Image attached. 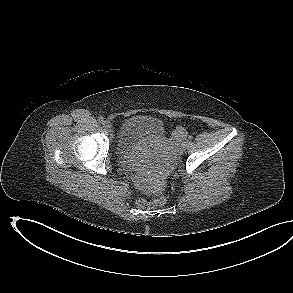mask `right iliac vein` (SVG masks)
Here are the masks:
<instances>
[{
    "instance_id": "obj_1",
    "label": "right iliac vein",
    "mask_w": 293,
    "mask_h": 293,
    "mask_svg": "<svg viewBox=\"0 0 293 293\" xmlns=\"http://www.w3.org/2000/svg\"><path fill=\"white\" fill-rule=\"evenodd\" d=\"M103 125H104V128H105L106 130L111 131L112 126H111V124H110L109 122H104Z\"/></svg>"
}]
</instances>
